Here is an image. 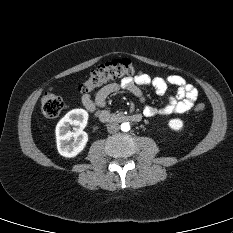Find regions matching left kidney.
<instances>
[{
    "mask_svg": "<svg viewBox=\"0 0 233 233\" xmlns=\"http://www.w3.org/2000/svg\"><path fill=\"white\" fill-rule=\"evenodd\" d=\"M172 130L180 131L183 128V121L181 119H171L168 123Z\"/></svg>",
    "mask_w": 233,
    "mask_h": 233,
    "instance_id": "left-kidney-1",
    "label": "left kidney"
}]
</instances>
